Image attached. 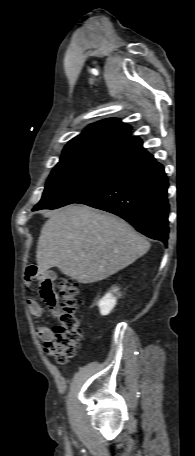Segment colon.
<instances>
[{
	"instance_id": "obj_1",
	"label": "colon",
	"mask_w": 195,
	"mask_h": 456,
	"mask_svg": "<svg viewBox=\"0 0 195 456\" xmlns=\"http://www.w3.org/2000/svg\"><path fill=\"white\" fill-rule=\"evenodd\" d=\"M57 289L58 324L54 327L55 337L45 343V350L58 363L65 364L75 356L82 339L80 331L82 300L78 283L70 277H60Z\"/></svg>"
}]
</instances>
